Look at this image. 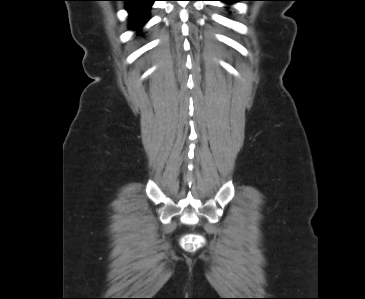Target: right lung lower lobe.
Returning <instances> with one entry per match:
<instances>
[{"label": "right lung lower lobe", "instance_id": "1", "mask_svg": "<svg viewBox=\"0 0 365 299\" xmlns=\"http://www.w3.org/2000/svg\"><path fill=\"white\" fill-rule=\"evenodd\" d=\"M129 12L131 29L139 30L148 21L149 10L155 0H122Z\"/></svg>", "mask_w": 365, "mask_h": 299}]
</instances>
